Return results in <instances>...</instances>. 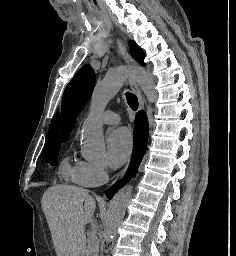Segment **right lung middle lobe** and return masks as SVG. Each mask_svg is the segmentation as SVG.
Returning <instances> with one entry per match:
<instances>
[{
  "mask_svg": "<svg viewBox=\"0 0 236 256\" xmlns=\"http://www.w3.org/2000/svg\"><path fill=\"white\" fill-rule=\"evenodd\" d=\"M59 149H60V141L46 142L43 149L44 161L47 163H50L51 165H54L58 157Z\"/></svg>",
  "mask_w": 236,
  "mask_h": 256,
  "instance_id": "obj_1",
  "label": "right lung middle lobe"
}]
</instances>
